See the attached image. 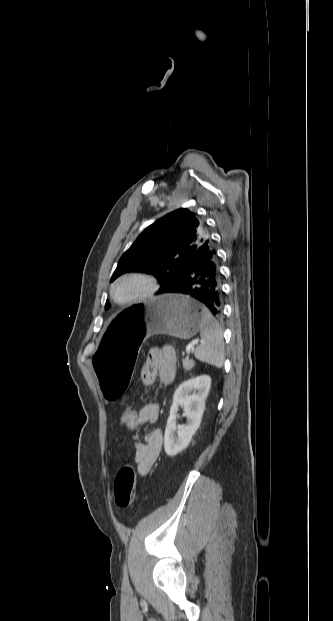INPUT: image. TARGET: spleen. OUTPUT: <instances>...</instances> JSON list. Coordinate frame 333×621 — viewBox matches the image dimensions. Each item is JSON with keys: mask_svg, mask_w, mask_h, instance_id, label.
<instances>
[{"mask_svg": "<svg viewBox=\"0 0 333 621\" xmlns=\"http://www.w3.org/2000/svg\"><path fill=\"white\" fill-rule=\"evenodd\" d=\"M200 336L201 342L194 351L196 359L222 368L224 364L223 332L219 322L207 309L200 326Z\"/></svg>", "mask_w": 333, "mask_h": 621, "instance_id": "3e777b00", "label": "spleen"}]
</instances>
